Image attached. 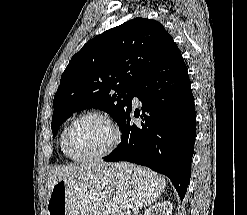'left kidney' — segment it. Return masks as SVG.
Here are the masks:
<instances>
[{
  "label": "left kidney",
  "mask_w": 247,
  "mask_h": 215,
  "mask_svg": "<svg viewBox=\"0 0 247 215\" xmlns=\"http://www.w3.org/2000/svg\"><path fill=\"white\" fill-rule=\"evenodd\" d=\"M172 210V203L164 201L149 207L144 215H172Z\"/></svg>",
  "instance_id": "obj_1"
}]
</instances>
